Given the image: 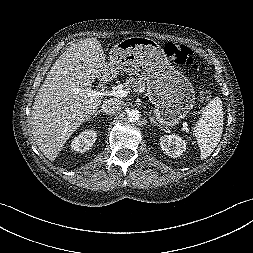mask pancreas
<instances>
[{
	"instance_id": "1",
	"label": "pancreas",
	"mask_w": 253,
	"mask_h": 253,
	"mask_svg": "<svg viewBox=\"0 0 253 253\" xmlns=\"http://www.w3.org/2000/svg\"><path fill=\"white\" fill-rule=\"evenodd\" d=\"M125 87L128 91H139L145 88V82L139 79H135L134 77H130L125 82Z\"/></svg>"
}]
</instances>
